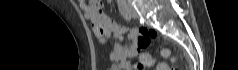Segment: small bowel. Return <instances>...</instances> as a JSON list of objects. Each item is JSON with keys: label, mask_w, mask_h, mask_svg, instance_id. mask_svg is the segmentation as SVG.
Segmentation results:
<instances>
[{"label": "small bowel", "mask_w": 238, "mask_h": 70, "mask_svg": "<svg viewBox=\"0 0 238 70\" xmlns=\"http://www.w3.org/2000/svg\"><path fill=\"white\" fill-rule=\"evenodd\" d=\"M78 4L86 19L90 20L93 31L101 44H107L111 38L116 39L112 44L109 57L122 70H132L133 64L128 61L139 53L138 31L136 28H126L105 14L100 2L79 0ZM126 40V41H125ZM146 54L140 56L143 61Z\"/></svg>", "instance_id": "1"}]
</instances>
